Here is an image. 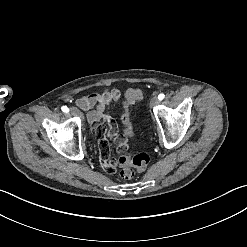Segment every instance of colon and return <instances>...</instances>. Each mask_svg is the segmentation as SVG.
<instances>
[{
  "mask_svg": "<svg viewBox=\"0 0 247 247\" xmlns=\"http://www.w3.org/2000/svg\"><path fill=\"white\" fill-rule=\"evenodd\" d=\"M143 98V93L138 88L129 89L126 93V101L129 103L138 101ZM126 103V102H125ZM122 120L125 124V132L133 138L134 131L130 123V114L126 111ZM150 162V156L147 153H135L133 150H128L125 155L117 156L116 163L119 166V173L125 179H131L137 172L142 171Z\"/></svg>",
  "mask_w": 247,
  "mask_h": 247,
  "instance_id": "colon-1",
  "label": "colon"
}]
</instances>
